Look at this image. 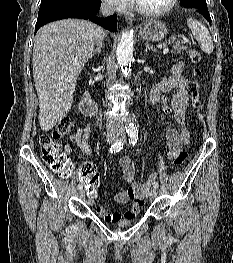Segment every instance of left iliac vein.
<instances>
[{
    "label": "left iliac vein",
    "mask_w": 233,
    "mask_h": 263,
    "mask_svg": "<svg viewBox=\"0 0 233 263\" xmlns=\"http://www.w3.org/2000/svg\"><path fill=\"white\" fill-rule=\"evenodd\" d=\"M121 140L126 141V137L122 136ZM157 197V189L156 188H152L151 192H150V199L154 200Z\"/></svg>",
    "instance_id": "obj_1"
}]
</instances>
